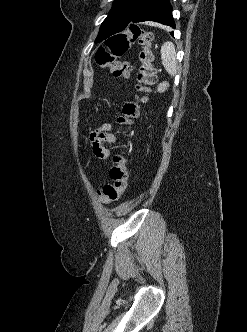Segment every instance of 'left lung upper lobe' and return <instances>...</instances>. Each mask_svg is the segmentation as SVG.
I'll return each instance as SVG.
<instances>
[{"instance_id":"obj_1","label":"left lung upper lobe","mask_w":247,"mask_h":332,"mask_svg":"<svg viewBox=\"0 0 247 332\" xmlns=\"http://www.w3.org/2000/svg\"><path fill=\"white\" fill-rule=\"evenodd\" d=\"M147 1L148 0H115L107 18L100 26V31L95 42H101L123 31L125 24Z\"/></svg>"}]
</instances>
